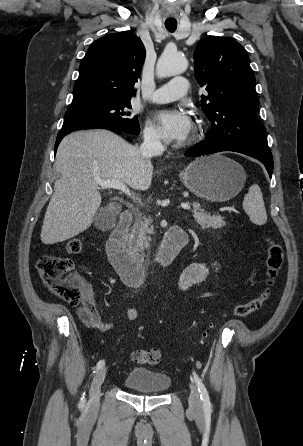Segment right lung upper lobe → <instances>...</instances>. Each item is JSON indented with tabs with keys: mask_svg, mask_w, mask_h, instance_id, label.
<instances>
[{
	"mask_svg": "<svg viewBox=\"0 0 303 446\" xmlns=\"http://www.w3.org/2000/svg\"><path fill=\"white\" fill-rule=\"evenodd\" d=\"M145 55L141 39L130 31L95 41L80 64L69 109L130 100L135 95L134 84Z\"/></svg>",
	"mask_w": 303,
	"mask_h": 446,
	"instance_id": "right-lung-upper-lobe-1",
	"label": "right lung upper lobe"
}]
</instances>
